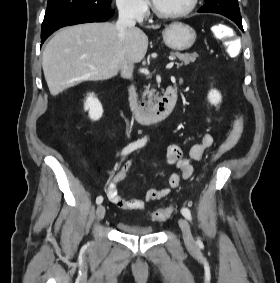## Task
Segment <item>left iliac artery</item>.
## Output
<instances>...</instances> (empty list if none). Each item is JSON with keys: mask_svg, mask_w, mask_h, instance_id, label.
Here are the masks:
<instances>
[{"mask_svg": "<svg viewBox=\"0 0 280 283\" xmlns=\"http://www.w3.org/2000/svg\"><path fill=\"white\" fill-rule=\"evenodd\" d=\"M181 213L187 220H189L190 222L192 221L191 211L188 208L186 207L182 208ZM198 242H200L199 239H198Z\"/></svg>", "mask_w": 280, "mask_h": 283, "instance_id": "obj_1", "label": "left iliac artery"}]
</instances>
